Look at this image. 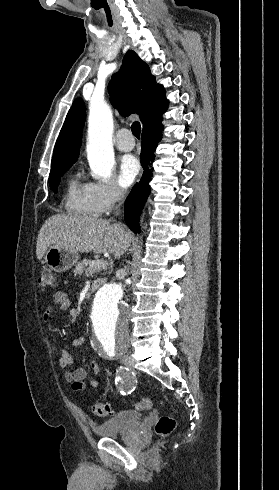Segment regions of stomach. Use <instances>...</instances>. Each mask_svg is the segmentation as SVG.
Instances as JSON below:
<instances>
[{
	"mask_svg": "<svg viewBox=\"0 0 279 490\" xmlns=\"http://www.w3.org/2000/svg\"><path fill=\"white\" fill-rule=\"evenodd\" d=\"M44 260L50 270L61 274V272H66V270H70L74 264H77L79 254L70 252V250H66V248H56V246H51L48 252H46Z\"/></svg>",
	"mask_w": 279,
	"mask_h": 490,
	"instance_id": "1",
	"label": "stomach"
}]
</instances>
